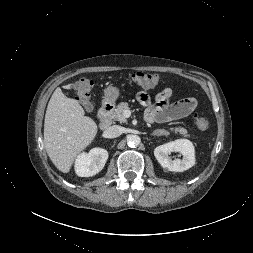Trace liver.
<instances>
[{"mask_svg": "<svg viewBox=\"0 0 253 253\" xmlns=\"http://www.w3.org/2000/svg\"><path fill=\"white\" fill-rule=\"evenodd\" d=\"M71 85L63 86L70 89ZM79 102L65 96L58 87L47 106L44 121V146L53 164L68 173L75 158L94 140L98 127L84 116Z\"/></svg>", "mask_w": 253, "mask_h": 253, "instance_id": "6515ba94", "label": "liver"}]
</instances>
